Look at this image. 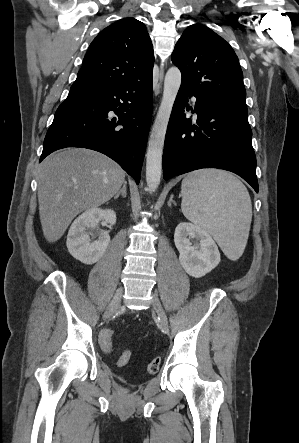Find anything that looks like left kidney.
Segmentation results:
<instances>
[{"mask_svg":"<svg viewBox=\"0 0 299 443\" xmlns=\"http://www.w3.org/2000/svg\"><path fill=\"white\" fill-rule=\"evenodd\" d=\"M174 242L180 253V264L192 277L206 275L220 262L216 243L206 230L197 225L180 223L175 229Z\"/></svg>","mask_w":299,"mask_h":443,"instance_id":"1","label":"left kidney"}]
</instances>
